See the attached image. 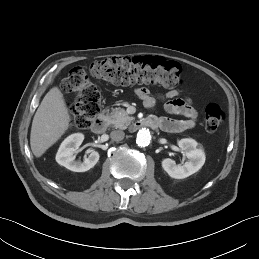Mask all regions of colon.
Segmentation results:
<instances>
[{
	"instance_id": "5ec220e1",
	"label": "colon",
	"mask_w": 259,
	"mask_h": 259,
	"mask_svg": "<svg viewBox=\"0 0 259 259\" xmlns=\"http://www.w3.org/2000/svg\"><path fill=\"white\" fill-rule=\"evenodd\" d=\"M92 77L117 85L156 84L166 88L181 85V67L159 57H112L90 65ZM64 91L75 95L70 111V123L76 128H88L101 107V94L82 67L70 70L62 83ZM224 119L222 108L209 103L205 108L204 125L207 131H216Z\"/></svg>"
}]
</instances>
